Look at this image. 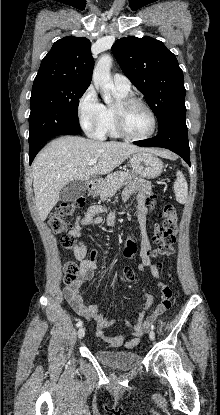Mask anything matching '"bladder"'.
<instances>
[{
    "mask_svg": "<svg viewBox=\"0 0 220 415\" xmlns=\"http://www.w3.org/2000/svg\"><path fill=\"white\" fill-rule=\"evenodd\" d=\"M94 355L100 362L119 369L134 368L142 361L141 355L137 352L113 351L101 348L95 350Z\"/></svg>",
    "mask_w": 220,
    "mask_h": 415,
    "instance_id": "31cf9c89",
    "label": "bladder"
}]
</instances>
